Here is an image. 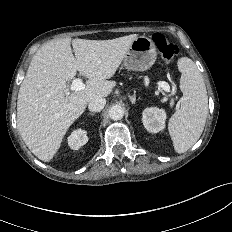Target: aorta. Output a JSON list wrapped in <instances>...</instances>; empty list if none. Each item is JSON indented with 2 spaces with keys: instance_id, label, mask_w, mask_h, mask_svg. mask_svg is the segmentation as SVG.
<instances>
[{
  "instance_id": "762f6f07",
  "label": "aorta",
  "mask_w": 232,
  "mask_h": 232,
  "mask_svg": "<svg viewBox=\"0 0 232 232\" xmlns=\"http://www.w3.org/2000/svg\"><path fill=\"white\" fill-rule=\"evenodd\" d=\"M108 115L114 121L121 120L124 116V109L120 105H113L110 107Z\"/></svg>"
}]
</instances>
